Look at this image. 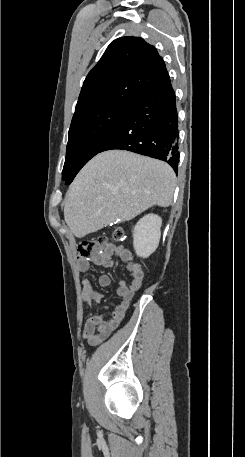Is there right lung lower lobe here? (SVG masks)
Wrapping results in <instances>:
<instances>
[{"instance_id":"1","label":"right lung lower lobe","mask_w":245,"mask_h":457,"mask_svg":"<svg viewBox=\"0 0 245 457\" xmlns=\"http://www.w3.org/2000/svg\"><path fill=\"white\" fill-rule=\"evenodd\" d=\"M178 114L170 79L140 95L100 152L128 150L166 161L177 172Z\"/></svg>"}]
</instances>
